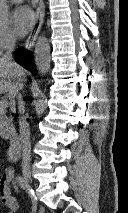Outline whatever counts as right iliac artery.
<instances>
[{
    "label": "right iliac artery",
    "instance_id": "right-iliac-artery-1",
    "mask_svg": "<svg viewBox=\"0 0 128 213\" xmlns=\"http://www.w3.org/2000/svg\"><path fill=\"white\" fill-rule=\"evenodd\" d=\"M17 183L19 184V186L24 189V190H29V186L27 181L25 180V178H23L22 176H17L16 177ZM30 191V190H29ZM32 192V191H31Z\"/></svg>",
    "mask_w": 128,
    "mask_h": 213
}]
</instances>
